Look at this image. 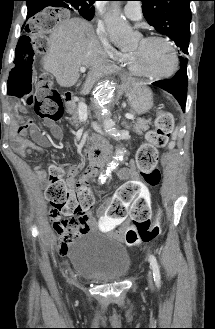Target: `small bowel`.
<instances>
[{"label":"small bowel","instance_id":"small-bowel-1","mask_svg":"<svg viewBox=\"0 0 215 329\" xmlns=\"http://www.w3.org/2000/svg\"><path fill=\"white\" fill-rule=\"evenodd\" d=\"M53 131L54 137H60L59 127L51 121H47ZM33 140L27 139L28 127L13 124V136L16 144V150L26 156L35 150L44 146H50L54 140L43 135L38 129L32 128ZM35 174L39 179H43L45 172L42 169H35ZM78 168L74 167L68 172L67 180L71 185L76 184ZM119 177L128 182H122L121 187H117V192L104 201L97 209L100 220L101 232H113L114 227H122L116 236L119 240L128 245H138L142 241L128 240L125 235V226L127 218H152V206L148 199L151 197V187H146L138 178L135 167L131 164L129 167L122 168L119 171ZM113 202V203H111ZM130 210V211H129ZM50 219L53 224H57L60 216L50 210ZM98 228L97 221L92 213L81 218L75 225L65 229L60 234V239L56 247L57 253L61 256L70 254V245L80 234L93 231Z\"/></svg>","mask_w":215,"mask_h":329}]
</instances>
